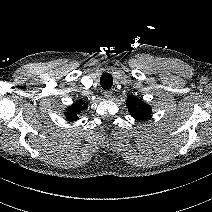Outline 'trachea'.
<instances>
[{
    "mask_svg": "<svg viewBox=\"0 0 212 212\" xmlns=\"http://www.w3.org/2000/svg\"><path fill=\"white\" fill-rule=\"evenodd\" d=\"M100 84L103 89L109 90L113 85V77L109 73H103L100 78Z\"/></svg>",
    "mask_w": 212,
    "mask_h": 212,
    "instance_id": "3493384b",
    "label": "trachea"
}]
</instances>
